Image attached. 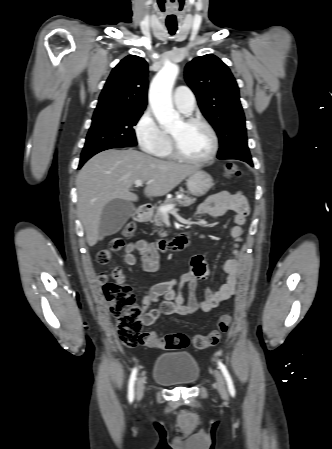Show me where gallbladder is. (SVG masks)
Returning <instances> with one entry per match:
<instances>
[{"label":"gallbladder","instance_id":"gallbladder-1","mask_svg":"<svg viewBox=\"0 0 332 449\" xmlns=\"http://www.w3.org/2000/svg\"><path fill=\"white\" fill-rule=\"evenodd\" d=\"M135 210L130 201L114 199L102 210L99 223L101 234L112 235L117 233L128 221Z\"/></svg>","mask_w":332,"mask_h":449}]
</instances>
